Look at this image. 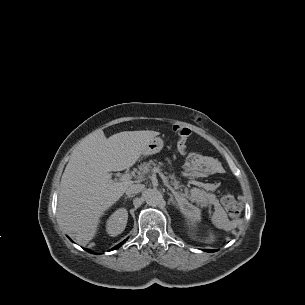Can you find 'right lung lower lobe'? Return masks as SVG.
I'll list each match as a JSON object with an SVG mask.
<instances>
[{
  "label": "right lung lower lobe",
  "instance_id": "98d812e1",
  "mask_svg": "<svg viewBox=\"0 0 305 305\" xmlns=\"http://www.w3.org/2000/svg\"><path fill=\"white\" fill-rule=\"evenodd\" d=\"M125 241H126V240H124L123 242L119 243L117 246H115L114 248H112L111 251H112V250H115V249H117V248H119ZM85 250H86L87 252L92 253L89 249H85Z\"/></svg>",
  "mask_w": 305,
  "mask_h": 305
}]
</instances>
